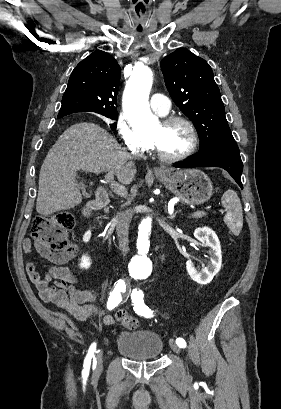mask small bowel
<instances>
[{
    "mask_svg": "<svg viewBox=\"0 0 281 409\" xmlns=\"http://www.w3.org/2000/svg\"><path fill=\"white\" fill-rule=\"evenodd\" d=\"M38 248L43 256L54 260V257L41 245ZM23 249L26 253L33 250V245L29 240L23 242ZM26 272L42 301L55 304L78 321H93L100 318L101 323L105 326L114 323V318L105 314L104 291L102 289L81 290L76 288L74 284L79 281V277L69 267L52 266L45 276L41 277L34 263L29 260L26 263ZM96 301H100L101 304H94Z\"/></svg>",
    "mask_w": 281,
    "mask_h": 409,
    "instance_id": "1",
    "label": "small bowel"
}]
</instances>
